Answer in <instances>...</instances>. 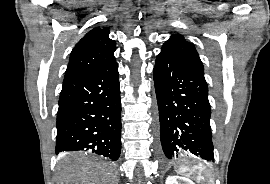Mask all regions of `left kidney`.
<instances>
[{
	"mask_svg": "<svg viewBox=\"0 0 270 184\" xmlns=\"http://www.w3.org/2000/svg\"><path fill=\"white\" fill-rule=\"evenodd\" d=\"M165 184H195L188 178L179 177V176H168L166 178Z\"/></svg>",
	"mask_w": 270,
	"mask_h": 184,
	"instance_id": "5707ae66",
	"label": "left kidney"
}]
</instances>
